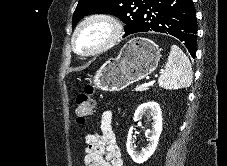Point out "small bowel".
I'll return each mask as SVG.
<instances>
[{"instance_id": "small-bowel-1", "label": "small bowel", "mask_w": 227, "mask_h": 166, "mask_svg": "<svg viewBox=\"0 0 227 166\" xmlns=\"http://www.w3.org/2000/svg\"><path fill=\"white\" fill-rule=\"evenodd\" d=\"M99 128V131L85 136V166H122L123 160L116 143L110 109L102 112Z\"/></svg>"}]
</instances>
